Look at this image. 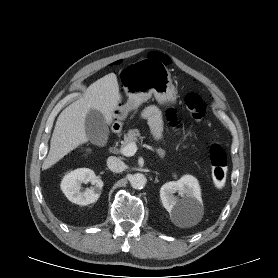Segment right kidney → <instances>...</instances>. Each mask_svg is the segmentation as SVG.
<instances>
[{"label":"right kidney","instance_id":"obj_1","mask_svg":"<svg viewBox=\"0 0 278 278\" xmlns=\"http://www.w3.org/2000/svg\"><path fill=\"white\" fill-rule=\"evenodd\" d=\"M91 182L93 187L81 191L82 183ZM103 181L98 179L93 170L88 168L76 169L64 176L61 190L69 201L78 205H88L97 201L101 194Z\"/></svg>","mask_w":278,"mask_h":278}]
</instances>
